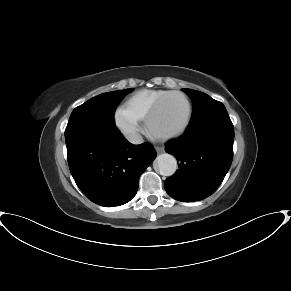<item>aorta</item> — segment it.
Returning a JSON list of instances; mask_svg holds the SVG:
<instances>
[{
  "mask_svg": "<svg viewBox=\"0 0 291 291\" xmlns=\"http://www.w3.org/2000/svg\"><path fill=\"white\" fill-rule=\"evenodd\" d=\"M156 161L162 176H172L177 170V160L171 154H161L156 158Z\"/></svg>",
  "mask_w": 291,
  "mask_h": 291,
  "instance_id": "762f6f07",
  "label": "aorta"
}]
</instances>
